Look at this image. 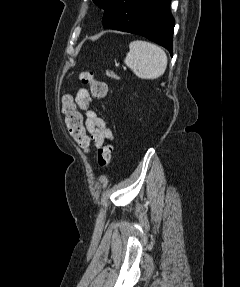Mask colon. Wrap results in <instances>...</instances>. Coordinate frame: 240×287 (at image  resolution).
I'll use <instances>...</instances> for the list:
<instances>
[{"instance_id": "5ec220e1", "label": "colon", "mask_w": 240, "mask_h": 287, "mask_svg": "<svg viewBox=\"0 0 240 287\" xmlns=\"http://www.w3.org/2000/svg\"><path fill=\"white\" fill-rule=\"evenodd\" d=\"M82 83L89 85L90 92L95 98H105L108 93L107 85L94 78L89 71H82L79 74ZM62 110L65 114L66 124L70 135L76 143L85 151L89 150L90 137L87 133L82 114L76 109L75 103L71 96L65 95L62 99ZM113 146L110 144L104 145L97 151V161L101 169L109 166L112 158Z\"/></svg>"}]
</instances>
